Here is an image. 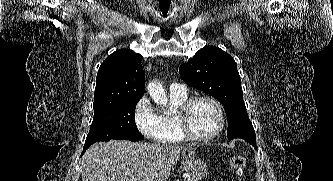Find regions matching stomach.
I'll list each match as a JSON object with an SVG mask.
<instances>
[{
  "instance_id": "obj_1",
  "label": "stomach",
  "mask_w": 333,
  "mask_h": 181,
  "mask_svg": "<svg viewBox=\"0 0 333 181\" xmlns=\"http://www.w3.org/2000/svg\"><path fill=\"white\" fill-rule=\"evenodd\" d=\"M182 165L184 171L198 181L208 174L207 164L203 160L196 159L195 151L188 150L183 153Z\"/></svg>"
}]
</instances>
